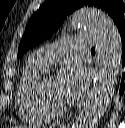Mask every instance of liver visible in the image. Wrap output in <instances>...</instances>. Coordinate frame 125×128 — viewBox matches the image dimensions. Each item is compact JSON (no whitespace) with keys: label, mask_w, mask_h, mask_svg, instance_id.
Instances as JSON below:
<instances>
[{"label":"liver","mask_w":125,"mask_h":128,"mask_svg":"<svg viewBox=\"0 0 125 128\" xmlns=\"http://www.w3.org/2000/svg\"><path fill=\"white\" fill-rule=\"evenodd\" d=\"M17 128H24V127L19 126V127H17Z\"/></svg>","instance_id":"6515ba94"}]
</instances>
